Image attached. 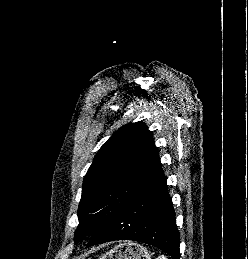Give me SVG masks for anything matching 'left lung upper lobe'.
I'll use <instances>...</instances> for the list:
<instances>
[{"label": "left lung upper lobe", "mask_w": 248, "mask_h": 259, "mask_svg": "<svg viewBox=\"0 0 248 259\" xmlns=\"http://www.w3.org/2000/svg\"><path fill=\"white\" fill-rule=\"evenodd\" d=\"M152 132L130 123L101 147L84 177L75 244L94 236L115 216L164 180Z\"/></svg>", "instance_id": "5c2ea615"}]
</instances>
